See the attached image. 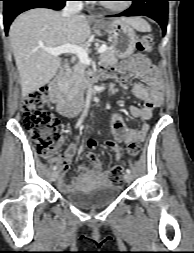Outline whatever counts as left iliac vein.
<instances>
[{
    "mask_svg": "<svg viewBox=\"0 0 194 253\" xmlns=\"http://www.w3.org/2000/svg\"><path fill=\"white\" fill-rule=\"evenodd\" d=\"M124 180L127 182V183H130L132 180H133V176L131 175V173H126L124 175Z\"/></svg>",
    "mask_w": 194,
    "mask_h": 253,
    "instance_id": "4c4485c4",
    "label": "left iliac vein"
}]
</instances>
